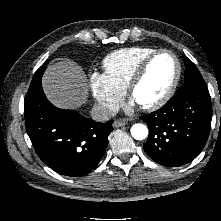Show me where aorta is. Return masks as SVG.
<instances>
[{
    "instance_id": "obj_1",
    "label": "aorta",
    "mask_w": 221,
    "mask_h": 221,
    "mask_svg": "<svg viewBox=\"0 0 221 221\" xmlns=\"http://www.w3.org/2000/svg\"><path fill=\"white\" fill-rule=\"evenodd\" d=\"M130 132L132 137L136 140H143L148 136V128L141 123L134 124Z\"/></svg>"
}]
</instances>
